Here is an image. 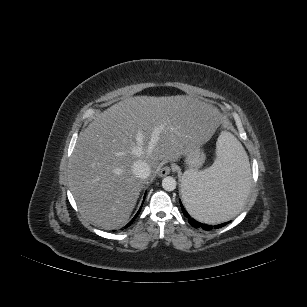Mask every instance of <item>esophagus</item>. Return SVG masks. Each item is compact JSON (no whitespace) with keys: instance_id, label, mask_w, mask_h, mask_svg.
Listing matches in <instances>:
<instances>
[{"instance_id":"34e87169","label":"esophagus","mask_w":307,"mask_h":307,"mask_svg":"<svg viewBox=\"0 0 307 307\" xmlns=\"http://www.w3.org/2000/svg\"><path fill=\"white\" fill-rule=\"evenodd\" d=\"M170 172H171L170 167L169 166H164L158 172V176L159 177H164V176H167L168 174H170Z\"/></svg>"}]
</instances>
